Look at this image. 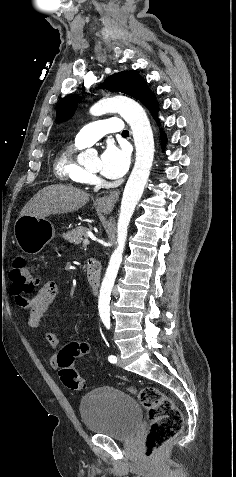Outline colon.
Here are the masks:
<instances>
[{
  "label": "colon",
  "mask_w": 236,
  "mask_h": 477,
  "mask_svg": "<svg viewBox=\"0 0 236 477\" xmlns=\"http://www.w3.org/2000/svg\"><path fill=\"white\" fill-rule=\"evenodd\" d=\"M11 280L12 295L19 305L38 285L37 277L33 270L27 267L23 258L15 260L11 269ZM90 350L91 347L87 343L71 342L58 352L59 376L66 387L77 391L86 388L84 380L72 365L76 358L88 354ZM134 392L151 421L145 439V452L148 458H154L158 451L181 431L183 417L174 402L159 389L146 386Z\"/></svg>",
  "instance_id": "colon-1"
}]
</instances>
